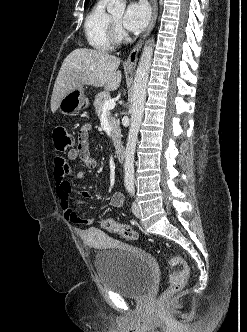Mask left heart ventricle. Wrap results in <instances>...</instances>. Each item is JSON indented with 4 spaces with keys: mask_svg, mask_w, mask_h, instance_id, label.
Here are the masks:
<instances>
[{
    "mask_svg": "<svg viewBox=\"0 0 247 332\" xmlns=\"http://www.w3.org/2000/svg\"><path fill=\"white\" fill-rule=\"evenodd\" d=\"M113 21L116 23V25L122 29V19H123V15L122 14H115L111 16Z\"/></svg>",
    "mask_w": 247,
    "mask_h": 332,
    "instance_id": "1",
    "label": "left heart ventricle"
}]
</instances>
